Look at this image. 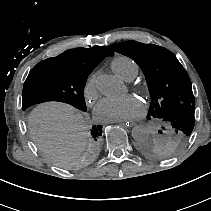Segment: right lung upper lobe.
I'll list each match as a JSON object with an SVG mask.
<instances>
[{
    "label": "right lung upper lobe",
    "mask_w": 211,
    "mask_h": 211,
    "mask_svg": "<svg viewBox=\"0 0 211 211\" xmlns=\"http://www.w3.org/2000/svg\"><path fill=\"white\" fill-rule=\"evenodd\" d=\"M113 54L106 46H94L92 48L70 49L52 59L97 66L105 57L112 56Z\"/></svg>",
    "instance_id": "obj_1"
}]
</instances>
